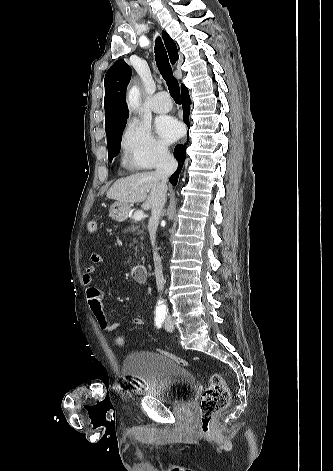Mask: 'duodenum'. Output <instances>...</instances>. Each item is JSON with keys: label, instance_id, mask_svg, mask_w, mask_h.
I'll list each match as a JSON object with an SVG mask.
<instances>
[{"label": "duodenum", "instance_id": "duodenum-1", "mask_svg": "<svg viewBox=\"0 0 333 471\" xmlns=\"http://www.w3.org/2000/svg\"><path fill=\"white\" fill-rule=\"evenodd\" d=\"M133 279L138 283H144L147 278V270L143 265H135L131 269Z\"/></svg>", "mask_w": 333, "mask_h": 471}]
</instances>
